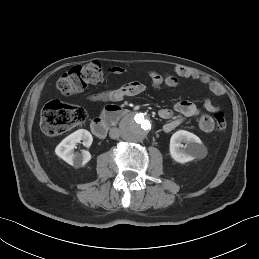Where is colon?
Instances as JSON below:
<instances>
[{
  "label": "colon",
  "instance_id": "5ec220e1",
  "mask_svg": "<svg viewBox=\"0 0 259 259\" xmlns=\"http://www.w3.org/2000/svg\"><path fill=\"white\" fill-rule=\"evenodd\" d=\"M103 78L101 65L91 62L71 68L58 79L56 86L61 94L70 96L81 92L89 85L102 82ZM214 119L216 129L224 132L227 128V121L221 109L214 111ZM86 120L87 112L84 108L53 100L48 102L42 110L41 128L46 135L56 136Z\"/></svg>",
  "mask_w": 259,
  "mask_h": 259
}]
</instances>
